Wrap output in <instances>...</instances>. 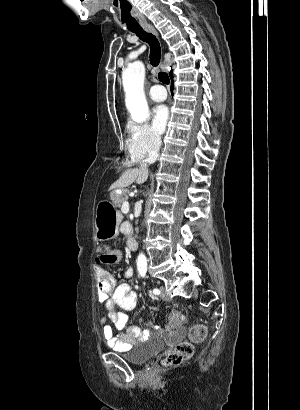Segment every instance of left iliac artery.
<instances>
[{"instance_id":"obj_1","label":"left iliac artery","mask_w":300,"mask_h":410,"mask_svg":"<svg viewBox=\"0 0 300 410\" xmlns=\"http://www.w3.org/2000/svg\"><path fill=\"white\" fill-rule=\"evenodd\" d=\"M141 276H142V277H145V276H146V273H145V272L141 273ZM153 293H154L155 295H159V294H160V290L157 289V288H155V289H153Z\"/></svg>"}]
</instances>
